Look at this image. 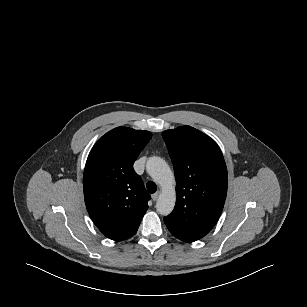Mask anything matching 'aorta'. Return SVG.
<instances>
[{"instance_id": "1", "label": "aorta", "mask_w": 307, "mask_h": 307, "mask_svg": "<svg viewBox=\"0 0 307 307\" xmlns=\"http://www.w3.org/2000/svg\"><path fill=\"white\" fill-rule=\"evenodd\" d=\"M146 171L162 189L156 203L157 212L167 216L173 211L176 202L174 174L166 161L157 156L147 160Z\"/></svg>"}]
</instances>
